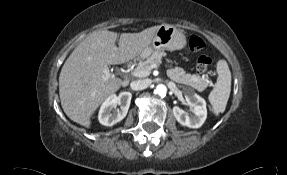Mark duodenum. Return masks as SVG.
I'll list each match as a JSON object with an SVG mask.
<instances>
[{
  "label": "duodenum",
  "instance_id": "duodenum-1",
  "mask_svg": "<svg viewBox=\"0 0 287 175\" xmlns=\"http://www.w3.org/2000/svg\"><path fill=\"white\" fill-rule=\"evenodd\" d=\"M127 83H128V80L126 78H124L123 84H127Z\"/></svg>",
  "mask_w": 287,
  "mask_h": 175
}]
</instances>
